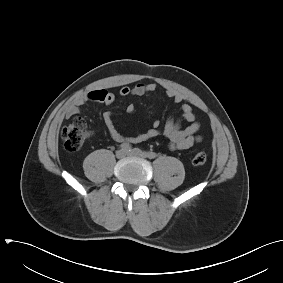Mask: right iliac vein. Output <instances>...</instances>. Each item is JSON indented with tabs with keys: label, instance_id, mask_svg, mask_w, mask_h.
I'll list each match as a JSON object with an SVG mask.
<instances>
[{
	"label": "right iliac vein",
	"instance_id": "63e3f726",
	"mask_svg": "<svg viewBox=\"0 0 283 283\" xmlns=\"http://www.w3.org/2000/svg\"><path fill=\"white\" fill-rule=\"evenodd\" d=\"M125 155H126V151L125 150H118L117 152H116V157L118 158V159H121V158H123V157H125Z\"/></svg>",
	"mask_w": 283,
	"mask_h": 283
}]
</instances>
